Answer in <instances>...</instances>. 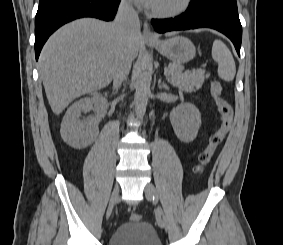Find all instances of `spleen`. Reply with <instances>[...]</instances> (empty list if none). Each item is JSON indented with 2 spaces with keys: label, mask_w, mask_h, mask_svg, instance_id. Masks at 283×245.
<instances>
[{
  "label": "spleen",
  "mask_w": 283,
  "mask_h": 245,
  "mask_svg": "<svg viewBox=\"0 0 283 245\" xmlns=\"http://www.w3.org/2000/svg\"><path fill=\"white\" fill-rule=\"evenodd\" d=\"M212 58L218 63V76L225 81H232L236 74L233 56L221 40H215L212 47Z\"/></svg>",
  "instance_id": "1"
}]
</instances>
